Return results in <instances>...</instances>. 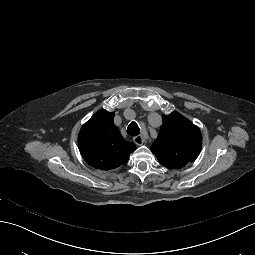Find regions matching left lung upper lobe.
<instances>
[{
	"mask_svg": "<svg viewBox=\"0 0 255 255\" xmlns=\"http://www.w3.org/2000/svg\"><path fill=\"white\" fill-rule=\"evenodd\" d=\"M163 124L151 151L168 168H182L200 153L202 136L199 128L177 112L162 116Z\"/></svg>",
	"mask_w": 255,
	"mask_h": 255,
	"instance_id": "obj_1",
	"label": "left lung upper lobe"
}]
</instances>
